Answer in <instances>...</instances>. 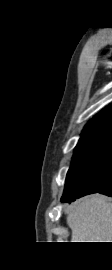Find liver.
Returning <instances> with one entry per match:
<instances>
[{
  "label": "liver",
  "mask_w": 112,
  "mask_h": 270,
  "mask_svg": "<svg viewBox=\"0 0 112 270\" xmlns=\"http://www.w3.org/2000/svg\"><path fill=\"white\" fill-rule=\"evenodd\" d=\"M72 242H112V203L95 194L77 201L67 216Z\"/></svg>",
  "instance_id": "6515ba94"
}]
</instances>
